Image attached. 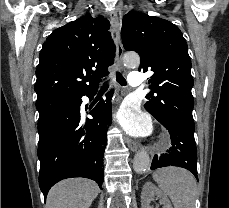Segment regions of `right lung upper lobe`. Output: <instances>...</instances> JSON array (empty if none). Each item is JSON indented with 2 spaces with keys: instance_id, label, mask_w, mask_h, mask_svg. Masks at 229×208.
<instances>
[{
  "instance_id": "right-lung-upper-lobe-1",
  "label": "right lung upper lobe",
  "mask_w": 229,
  "mask_h": 208,
  "mask_svg": "<svg viewBox=\"0 0 229 208\" xmlns=\"http://www.w3.org/2000/svg\"><path fill=\"white\" fill-rule=\"evenodd\" d=\"M110 23L87 14L56 29L44 42L36 69V103L79 98L97 90L115 57Z\"/></svg>"
}]
</instances>
